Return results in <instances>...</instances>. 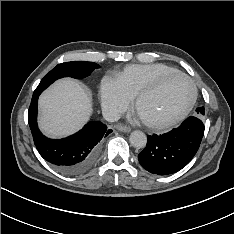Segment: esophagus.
I'll list each match as a JSON object with an SVG mask.
<instances>
[{"instance_id":"1","label":"esophagus","mask_w":234,"mask_h":234,"mask_svg":"<svg viewBox=\"0 0 234 234\" xmlns=\"http://www.w3.org/2000/svg\"><path fill=\"white\" fill-rule=\"evenodd\" d=\"M116 129H117L118 131H120V132H125V133L131 131V128H130V127H128V126H126V125H123V124H118V125H116Z\"/></svg>"}]
</instances>
